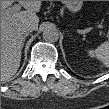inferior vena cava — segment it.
Returning a JSON list of instances; mask_svg holds the SVG:
<instances>
[{
    "instance_id": "obj_1",
    "label": "inferior vena cava",
    "mask_w": 109,
    "mask_h": 109,
    "mask_svg": "<svg viewBox=\"0 0 109 109\" xmlns=\"http://www.w3.org/2000/svg\"><path fill=\"white\" fill-rule=\"evenodd\" d=\"M33 30H35V28L30 22H24L21 24V31L23 34L28 35Z\"/></svg>"
}]
</instances>
